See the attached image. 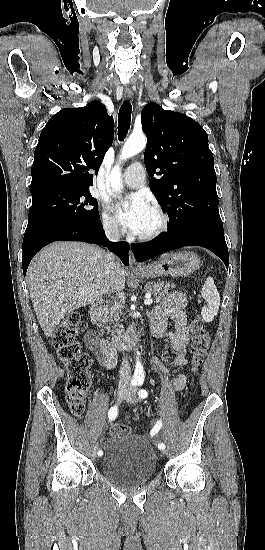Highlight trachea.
<instances>
[{
	"mask_svg": "<svg viewBox=\"0 0 265 550\" xmlns=\"http://www.w3.org/2000/svg\"><path fill=\"white\" fill-rule=\"evenodd\" d=\"M132 105L129 100L124 101L118 114V138L123 141L126 137L131 123Z\"/></svg>",
	"mask_w": 265,
	"mask_h": 550,
	"instance_id": "3493384b",
	"label": "trachea"
}]
</instances>
